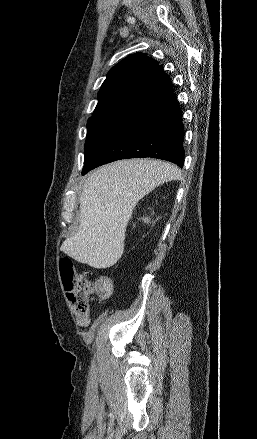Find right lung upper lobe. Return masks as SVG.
Returning <instances> with one entry per match:
<instances>
[{"label":"right lung upper lobe","mask_w":257,"mask_h":439,"mask_svg":"<svg viewBox=\"0 0 257 439\" xmlns=\"http://www.w3.org/2000/svg\"><path fill=\"white\" fill-rule=\"evenodd\" d=\"M173 91L169 76L156 60L143 53L131 54L108 72L92 117L128 119Z\"/></svg>","instance_id":"right-lung-upper-lobe-1"}]
</instances>
